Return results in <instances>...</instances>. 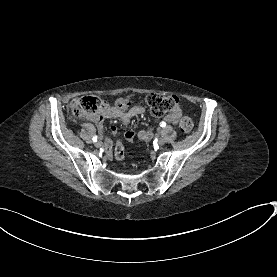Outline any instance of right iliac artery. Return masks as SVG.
I'll list each match as a JSON object with an SVG mask.
<instances>
[{
  "label": "right iliac artery",
  "instance_id": "obj_1",
  "mask_svg": "<svg viewBox=\"0 0 277 277\" xmlns=\"http://www.w3.org/2000/svg\"><path fill=\"white\" fill-rule=\"evenodd\" d=\"M93 141L96 142L97 141V136L93 137Z\"/></svg>",
  "mask_w": 277,
  "mask_h": 277
}]
</instances>
